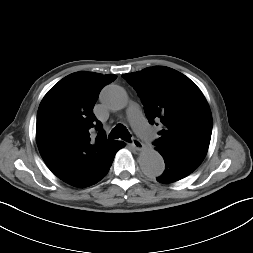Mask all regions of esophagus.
<instances>
[{
  "label": "esophagus",
  "mask_w": 253,
  "mask_h": 253,
  "mask_svg": "<svg viewBox=\"0 0 253 253\" xmlns=\"http://www.w3.org/2000/svg\"><path fill=\"white\" fill-rule=\"evenodd\" d=\"M132 146H133L136 150H138V151H140V150H142V149L144 148L143 143H142L140 140L136 139V138H134V139L132 140Z\"/></svg>",
  "instance_id": "obj_1"
}]
</instances>
